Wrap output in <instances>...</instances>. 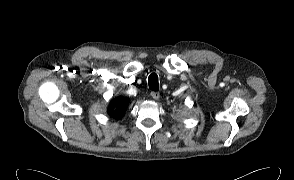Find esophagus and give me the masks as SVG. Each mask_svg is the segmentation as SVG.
<instances>
[{
  "mask_svg": "<svg viewBox=\"0 0 294 180\" xmlns=\"http://www.w3.org/2000/svg\"><path fill=\"white\" fill-rule=\"evenodd\" d=\"M150 95L152 96V98H153L154 100H158V99L160 98V93L157 92V91H152V92L150 93Z\"/></svg>",
  "mask_w": 294,
  "mask_h": 180,
  "instance_id": "1",
  "label": "esophagus"
}]
</instances>
